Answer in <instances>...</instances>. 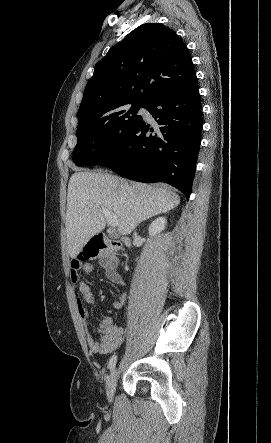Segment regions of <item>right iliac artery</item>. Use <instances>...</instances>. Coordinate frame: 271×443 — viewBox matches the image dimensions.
I'll list each match as a JSON object with an SVG mask.
<instances>
[{
	"instance_id": "obj_1",
	"label": "right iliac artery",
	"mask_w": 271,
	"mask_h": 443,
	"mask_svg": "<svg viewBox=\"0 0 271 443\" xmlns=\"http://www.w3.org/2000/svg\"><path fill=\"white\" fill-rule=\"evenodd\" d=\"M116 362H117V356H116V355H113V356L111 357L110 361H109V368H110V370H113V369H114V367H115V365H116Z\"/></svg>"
}]
</instances>
